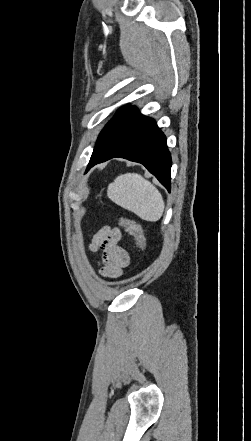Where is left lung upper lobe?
Here are the masks:
<instances>
[{"mask_svg": "<svg viewBox=\"0 0 251 441\" xmlns=\"http://www.w3.org/2000/svg\"><path fill=\"white\" fill-rule=\"evenodd\" d=\"M133 106L128 105L118 110L115 116L119 117L126 114Z\"/></svg>", "mask_w": 251, "mask_h": 441, "instance_id": "obj_1", "label": "left lung upper lobe"}]
</instances>
